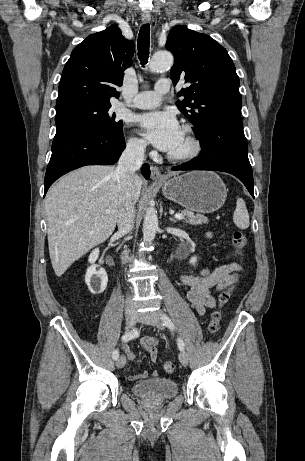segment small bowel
<instances>
[{"label": "small bowel", "instance_id": "obj_1", "mask_svg": "<svg viewBox=\"0 0 305 461\" xmlns=\"http://www.w3.org/2000/svg\"><path fill=\"white\" fill-rule=\"evenodd\" d=\"M210 236L211 234H207ZM230 254L225 259L228 260ZM242 270V267L234 261H222L211 268H204L199 275H183L180 279L185 291L187 300L191 307L200 315H204L207 311L216 306V298L214 293L230 285L237 276V273ZM159 341L156 337L146 336L141 339L143 350L149 355L151 362L155 363L158 359L157 345ZM129 360L135 359V354L123 345ZM151 375L156 377L158 371H152ZM147 373H141L136 376L130 375L129 379L144 378Z\"/></svg>", "mask_w": 305, "mask_h": 461}]
</instances>
